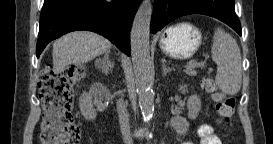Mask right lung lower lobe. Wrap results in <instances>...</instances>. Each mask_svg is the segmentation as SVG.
Returning <instances> with one entry per match:
<instances>
[{
	"mask_svg": "<svg viewBox=\"0 0 273 144\" xmlns=\"http://www.w3.org/2000/svg\"><path fill=\"white\" fill-rule=\"evenodd\" d=\"M140 0H44L36 55L71 31L88 30L108 38L130 56L129 33Z\"/></svg>",
	"mask_w": 273,
	"mask_h": 144,
	"instance_id": "1",
	"label": "right lung lower lobe"
}]
</instances>
